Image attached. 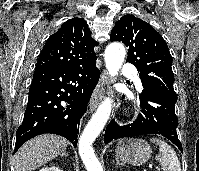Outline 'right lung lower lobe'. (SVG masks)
I'll return each mask as SVG.
<instances>
[{
	"instance_id": "obj_1",
	"label": "right lung lower lobe",
	"mask_w": 199,
	"mask_h": 171,
	"mask_svg": "<svg viewBox=\"0 0 199 171\" xmlns=\"http://www.w3.org/2000/svg\"><path fill=\"white\" fill-rule=\"evenodd\" d=\"M95 61L35 69L14 153L27 140L44 133L61 135L77 146L80 118L100 77Z\"/></svg>"
}]
</instances>
